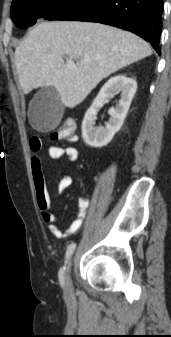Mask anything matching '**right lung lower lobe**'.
Here are the masks:
<instances>
[{
    "mask_svg": "<svg viewBox=\"0 0 171 337\" xmlns=\"http://www.w3.org/2000/svg\"><path fill=\"white\" fill-rule=\"evenodd\" d=\"M163 0H69L45 19L99 22L131 31L158 54Z\"/></svg>",
    "mask_w": 171,
    "mask_h": 337,
    "instance_id": "1",
    "label": "right lung lower lobe"
}]
</instances>
